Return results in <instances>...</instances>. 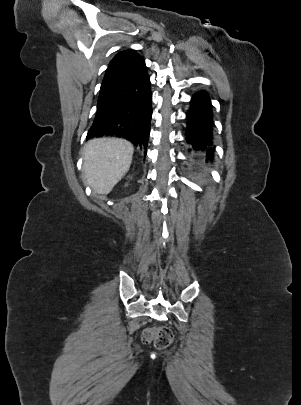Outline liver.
Returning a JSON list of instances; mask_svg holds the SVG:
<instances>
[{
	"label": "liver",
	"mask_w": 301,
	"mask_h": 405,
	"mask_svg": "<svg viewBox=\"0 0 301 405\" xmlns=\"http://www.w3.org/2000/svg\"><path fill=\"white\" fill-rule=\"evenodd\" d=\"M133 145L127 140L97 138L84 147L83 172L86 184L97 194H108L128 172Z\"/></svg>",
	"instance_id": "6515ba94"
}]
</instances>
